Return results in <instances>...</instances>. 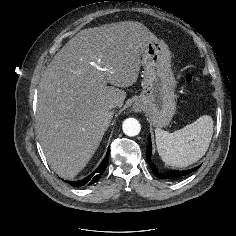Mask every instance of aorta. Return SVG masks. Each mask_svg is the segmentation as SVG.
I'll list each match as a JSON object with an SVG mask.
<instances>
[{"instance_id": "obj_1", "label": "aorta", "mask_w": 236, "mask_h": 236, "mask_svg": "<svg viewBox=\"0 0 236 236\" xmlns=\"http://www.w3.org/2000/svg\"><path fill=\"white\" fill-rule=\"evenodd\" d=\"M123 132L127 136H136L140 133L141 126L137 119L135 118H127L124 120L123 125Z\"/></svg>"}]
</instances>
